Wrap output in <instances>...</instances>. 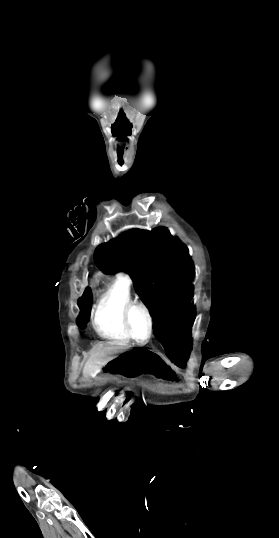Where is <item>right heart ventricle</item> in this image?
Segmentation results:
<instances>
[{"mask_svg":"<svg viewBox=\"0 0 279 538\" xmlns=\"http://www.w3.org/2000/svg\"><path fill=\"white\" fill-rule=\"evenodd\" d=\"M102 232L97 226L90 232L92 241ZM136 301L131 292V282L126 275H118L100 293L92 309V324L97 333L105 338L129 342L124 330L122 315L127 304Z\"/></svg>","mask_w":279,"mask_h":538,"instance_id":"obj_1","label":"right heart ventricle"}]
</instances>
